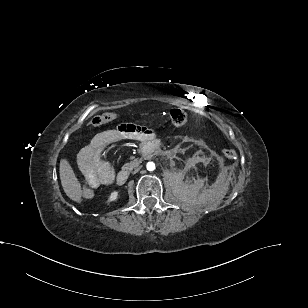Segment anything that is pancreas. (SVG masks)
<instances>
[{"mask_svg": "<svg viewBox=\"0 0 308 308\" xmlns=\"http://www.w3.org/2000/svg\"><path fill=\"white\" fill-rule=\"evenodd\" d=\"M140 160L138 159H134L133 161H131L130 163H126L124 166H123V169L125 170H132L134 167L138 166Z\"/></svg>", "mask_w": 308, "mask_h": 308, "instance_id": "1", "label": "pancreas"}]
</instances>
